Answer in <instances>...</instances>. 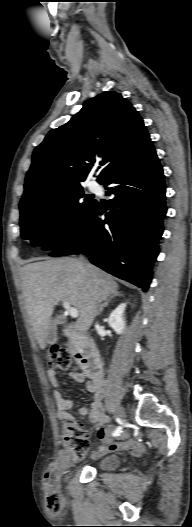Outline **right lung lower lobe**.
Here are the masks:
<instances>
[{
  "label": "right lung lower lobe",
  "mask_w": 192,
  "mask_h": 527,
  "mask_svg": "<svg viewBox=\"0 0 192 527\" xmlns=\"http://www.w3.org/2000/svg\"><path fill=\"white\" fill-rule=\"evenodd\" d=\"M101 184L114 195L110 212L96 202L83 226L50 255L81 252L94 265L146 291L166 214L163 170L151 140Z\"/></svg>",
  "instance_id": "98d812e1"
}]
</instances>
